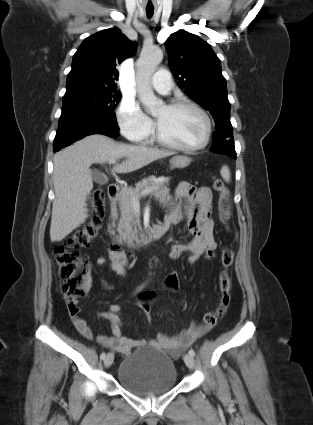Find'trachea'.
Wrapping results in <instances>:
<instances>
[{
    "label": "trachea",
    "instance_id": "trachea-1",
    "mask_svg": "<svg viewBox=\"0 0 313 425\" xmlns=\"http://www.w3.org/2000/svg\"><path fill=\"white\" fill-rule=\"evenodd\" d=\"M146 13L148 17H151L154 13V9L152 8H146Z\"/></svg>",
    "mask_w": 313,
    "mask_h": 425
}]
</instances>
